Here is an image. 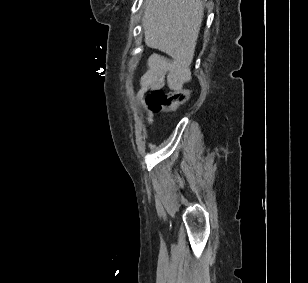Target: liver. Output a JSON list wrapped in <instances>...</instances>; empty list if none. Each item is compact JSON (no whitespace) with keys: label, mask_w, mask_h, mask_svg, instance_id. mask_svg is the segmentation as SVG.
I'll return each mask as SVG.
<instances>
[{"label":"liver","mask_w":308,"mask_h":283,"mask_svg":"<svg viewBox=\"0 0 308 283\" xmlns=\"http://www.w3.org/2000/svg\"><path fill=\"white\" fill-rule=\"evenodd\" d=\"M144 6L145 44L189 65L204 15L202 0H145Z\"/></svg>","instance_id":"liver-1"}]
</instances>
